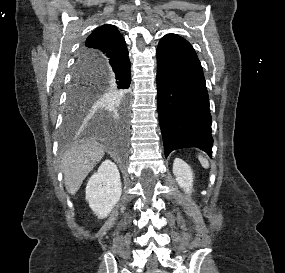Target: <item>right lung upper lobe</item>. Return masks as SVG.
I'll list each match as a JSON object with an SVG mask.
<instances>
[{"label": "right lung upper lobe", "instance_id": "1", "mask_svg": "<svg viewBox=\"0 0 285 273\" xmlns=\"http://www.w3.org/2000/svg\"><path fill=\"white\" fill-rule=\"evenodd\" d=\"M128 53L126 42L114 25L105 24L95 29L86 39L76 67L82 72H91L90 66L99 60L123 57Z\"/></svg>", "mask_w": 285, "mask_h": 273}]
</instances>
